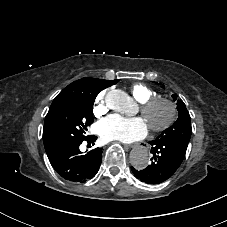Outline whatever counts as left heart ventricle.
<instances>
[{
    "mask_svg": "<svg viewBox=\"0 0 227 227\" xmlns=\"http://www.w3.org/2000/svg\"><path fill=\"white\" fill-rule=\"evenodd\" d=\"M169 114V108L165 104H158L152 110H150L143 119L148 124L151 125H160L162 124Z\"/></svg>",
    "mask_w": 227,
    "mask_h": 227,
    "instance_id": "1",
    "label": "left heart ventricle"
}]
</instances>
